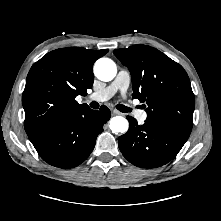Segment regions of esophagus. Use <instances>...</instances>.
Returning <instances> with one entry per match:
<instances>
[{"label":"esophagus","mask_w":221,"mask_h":221,"mask_svg":"<svg viewBox=\"0 0 221 221\" xmlns=\"http://www.w3.org/2000/svg\"><path fill=\"white\" fill-rule=\"evenodd\" d=\"M112 113H113L114 115H121V112H119V111L116 110V109H112Z\"/></svg>","instance_id":"1"}]
</instances>
